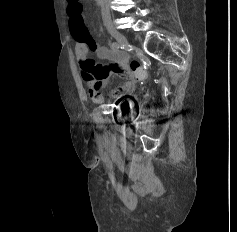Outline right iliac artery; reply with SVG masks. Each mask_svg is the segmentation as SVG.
I'll return each instance as SVG.
<instances>
[{"label":"right iliac artery","instance_id":"right-iliac-artery-1","mask_svg":"<svg viewBox=\"0 0 237 232\" xmlns=\"http://www.w3.org/2000/svg\"><path fill=\"white\" fill-rule=\"evenodd\" d=\"M111 47H112L113 50H118L120 48V46H119V44L117 42H113L111 44Z\"/></svg>","mask_w":237,"mask_h":232}]
</instances>
